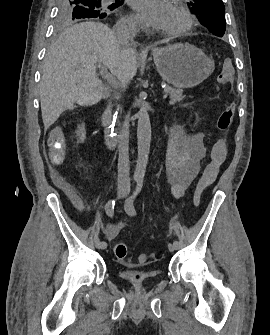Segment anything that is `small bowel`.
Listing matches in <instances>:
<instances>
[{"label": "small bowel", "instance_id": "obj_1", "mask_svg": "<svg viewBox=\"0 0 270 335\" xmlns=\"http://www.w3.org/2000/svg\"><path fill=\"white\" fill-rule=\"evenodd\" d=\"M169 136L166 176L172 184L173 197L178 199L198 174L200 162L204 158L206 150L201 134L186 135L180 125L172 126ZM61 137L62 130L56 128L49 140L52 146L51 149H46V156H65V149H60L59 145H65L66 140ZM113 233L114 227L107 226L106 234L111 236Z\"/></svg>", "mask_w": 270, "mask_h": 335}]
</instances>
